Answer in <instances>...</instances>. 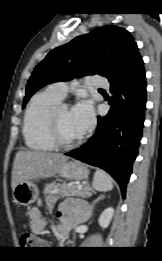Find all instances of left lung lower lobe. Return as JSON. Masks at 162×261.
Returning a JSON list of instances; mask_svg holds the SVG:
<instances>
[{
  "mask_svg": "<svg viewBox=\"0 0 162 261\" xmlns=\"http://www.w3.org/2000/svg\"><path fill=\"white\" fill-rule=\"evenodd\" d=\"M110 84L109 113L98 117L96 132L87 143L65 155L107 171L118 182L124 198L144 126L147 91L143 60Z\"/></svg>",
  "mask_w": 162,
  "mask_h": 261,
  "instance_id": "left-lung-lower-lobe-1",
  "label": "left lung lower lobe"
}]
</instances>
